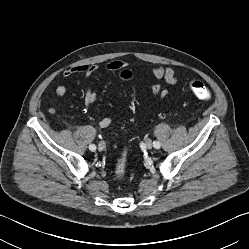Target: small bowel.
<instances>
[{
  "instance_id": "c3829d8e",
  "label": "small bowel",
  "mask_w": 249,
  "mask_h": 249,
  "mask_svg": "<svg viewBox=\"0 0 249 249\" xmlns=\"http://www.w3.org/2000/svg\"><path fill=\"white\" fill-rule=\"evenodd\" d=\"M126 63L123 61H112L108 63L105 68L108 71H117L121 68L125 67ZM98 69V65L96 64H81L74 66L72 68L65 69L63 71L64 77H71L76 74H83L87 79H89L95 71ZM151 75L156 80H164L168 85H176L181 77L175 71V69L170 65H162L158 64L151 68ZM152 95L157 100H163L169 96L170 90L167 88H163L158 82H154L151 86ZM67 93L66 85H59L56 88V94L58 97H63ZM84 102L86 108H91L97 102V95L95 89L91 83H88L84 92ZM113 122V117L105 116V117H97L96 123L101 128L109 127Z\"/></svg>"
}]
</instances>
